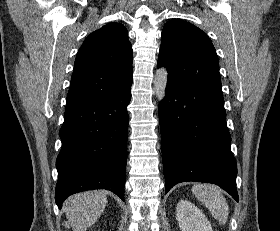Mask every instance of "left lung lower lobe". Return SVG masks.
Masks as SVG:
<instances>
[{
	"instance_id": "obj_1",
	"label": "left lung lower lobe",
	"mask_w": 280,
	"mask_h": 231,
	"mask_svg": "<svg viewBox=\"0 0 280 231\" xmlns=\"http://www.w3.org/2000/svg\"><path fill=\"white\" fill-rule=\"evenodd\" d=\"M159 120L165 193L180 182H207L238 202L237 166L221 89L167 81Z\"/></svg>"
}]
</instances>
